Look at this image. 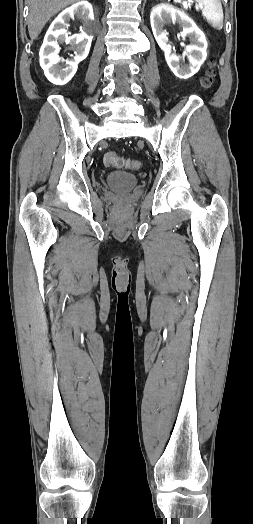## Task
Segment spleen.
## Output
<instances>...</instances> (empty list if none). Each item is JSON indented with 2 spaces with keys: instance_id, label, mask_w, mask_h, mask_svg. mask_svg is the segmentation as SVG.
<instances>
[{
  "instance_id": "obj_1",
  "label": "spleen",
  "mask_w": 253,
  "mask_h": 524,
  "mask_svg": "<svg viewBox=\"0 0 253 524\" xmlns=\"http://www.w3.org/2000/svg\"><path fill=\"white\" fill-rule=\"evenodd\" d=\"M203 6L202 15L217 30L223 27V9L220 0H196Z\"/></svg>"
}]
</instances>
